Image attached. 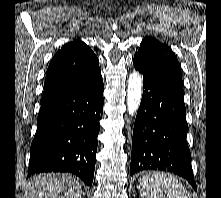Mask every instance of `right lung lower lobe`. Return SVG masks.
<instances>
[{
	"label": "right lung lower lobe",
	"mask_w": 221,
	"mask_h": 198,
	"mask_svg": "<svg viewBox=\"0 0 221 198\" xmlns=\"http://www.w3.org/2000/svg\"><path fill=\"white\" fill-rule=\"evenodd\" d=\"M103 90L99 71L80 86L41 104L30 148L28 176L69 172L86 185L92 184Z\"/></svg>",
	"instance_id": "right-lung-lower-lobe-1"
}]
</instances>
